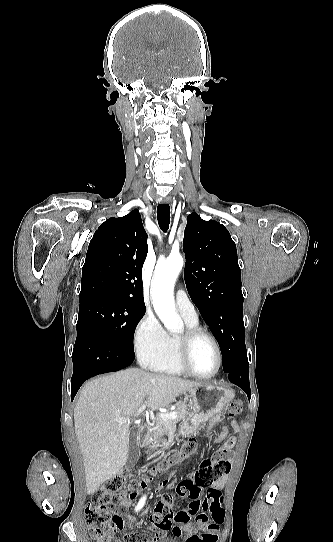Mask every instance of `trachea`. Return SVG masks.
<instances>
[{
  "instance_id": "obj_1",
  "label": "trachea",
  "mask_w": 333,
  "mask_h": 542,
  "mask_svg": "<svg viewBox=\"0 0 333 542\" xmlns=\"http://www.w3.org/2000/svg\"><path fill=\"white\" fill-rule=\"evenodd\" d=\"M157 219L161 230L167 232L170 224V206L167 203L158 205Z\"/></svg>"
}]
</instances>
